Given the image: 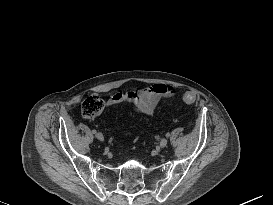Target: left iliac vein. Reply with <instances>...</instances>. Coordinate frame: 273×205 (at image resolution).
Segmentation results:
<instances>
[{"instance_id": "1", "label": "left iliac vein", "mask_w": 273, "mask_h": 205, "mask_svg": "<svg viewBox=\"0 0 273 205\" xmlns=\"http://www.w3.org/2000/svg\"><path fill=\"white\" fill-rule=\"evenodd\" d=\"M167 143H168V140L166 138H163V139H161L159 146L161 148H164V147H166Z\"/></svg>"}]
</instances>
